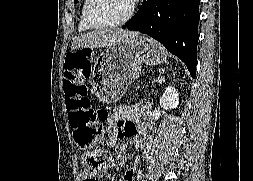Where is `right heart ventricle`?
<instances>
[{"mask_svg": "<svg viewBox=\"0 0 253 181\" xmlns=\"http://www.w3.org/2000/svg\"><path fill=\"white\" fill-rule=\"evenodd\" d=\"M87 1H88V0H83V1H82V6H81L80 19H79V26H78V29H79V31H81V32H86V31H90V30L93 29V28L90 27V26L86 23V21H85L84 12H85V7H86V4H87Z\"/></svg>", "mask_w": 253, "mask_h": 181, "instance_id": "obj_1", "label": "right heart ventricle"}]
</instances>
